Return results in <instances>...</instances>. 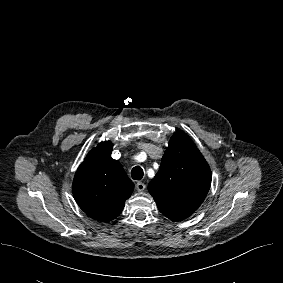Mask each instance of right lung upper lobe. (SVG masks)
<instances>
[{
	"label": "right lung upper lobe",
	"instance_id": "obj_1",
	"mask_svg": "<svg viewBox=\"0 0 283 283\" xmlns=\"http://www.w3.org/2000/svg\"><path fill=\"white\" fill-rule=\"evenodd\" d=\"M113 144L101 142L79 166L72 192L79 207L91 218L109 222L116 218L134 189L122 165L112 159Z\"/></svg>",
	"mask_w": 283,
	"mask_h": 283
}]
</instances>
